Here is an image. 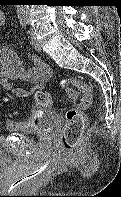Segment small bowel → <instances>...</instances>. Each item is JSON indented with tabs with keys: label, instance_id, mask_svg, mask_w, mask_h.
Wrapping results in <instances>:
<instances>
[{
	"label": "small bowel",
	"instance_id": "c3829d8e",
	"mask_svg": "<svg viewBox=\"0 0 121 197\" xmlns=\"http://www.w3.org/2000/svg\"><path fill=\"white\" fill-rule=\"evenodd\" d=\"M4 20V13L0 11V26L3 25ZM31 62L34 67L26 70L21 57L11 47H1L0 86L6 90H12L11 80H20L30 84L29 87L17 91V94L21 97H29L34 92L42 90L45 83L51 78V70L37 55L31 57Z\"/></svg>",
	"mask_w": 121,
	"mask_h": 197
}]
</instances>
